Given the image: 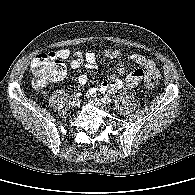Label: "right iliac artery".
I'll return each instance as SVG.
<instances>
[{"mask_svg":"<svg viewBox=\"0 0 195 195\" xmlns=\"http://www.w3.org/2000/svg\"><path fill=\"white\" fill-rule=\"evenodd\" d=\"M82 94L81 93H77L76 94V97H80Z\"/></svg>","mask_w":195,"mask_h":195,"instance_id":"obj_1","label":"right iliac artery"}]
</instances>
